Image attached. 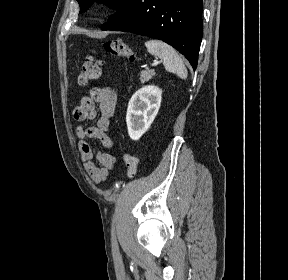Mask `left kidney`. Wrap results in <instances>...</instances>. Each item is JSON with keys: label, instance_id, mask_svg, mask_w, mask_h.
<instances>
[{"label": "left kidney", "instance_id": "5707ae66", "mask_svg": "<svg viewBox=\"0 0 288 280\" xmlns=\"http://www.w3.org/2000/svg\"><path fill=\"white\" fill-rule=\"evenodd\" d=\"M162 91L156 86H144L131 97L126 114L128 134L132 140H138L149 129L160 105Z\"/></svg>", "mask_w": 288, "mask_h": 280}]
</instances>
